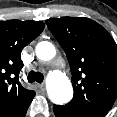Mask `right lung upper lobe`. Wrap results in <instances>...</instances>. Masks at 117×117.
<instances>
[{"instance_id": "cb5924a9", "label": "right lung upper lobe", "mask_w": 117, "mask_h": 117, "mask_svg": "<svg viewBox=\"0 0 117 117\" xmlns=\"http://www.w3.org/2000/svg\"><path fill=\"white\" fill-rule=\"evenodd\" d=\"M44 27L41 21H0V117H16L35 96L19 82L21 51Z\"/></svg>"}]
</instances>
